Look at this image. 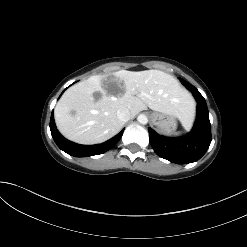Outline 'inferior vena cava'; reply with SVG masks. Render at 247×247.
I'll return each mask as SVG.
<instances>
[{"label": "inferior vena cava", "mask_w": 247, "mask_h": 247, "mask_svg": "<svg viewBox=\"0 0 247 247\" xmlns=\"http://www.w3.org/2000/svg\"><path fill=\"white\" fill-rule=\"evenodd\" d=\"M117 117L122 122H127L130 118V111L128 108L122 107L117 110Z\"/></svg>", "instance_id": "inferior-vena-cava-1"}]
</instances>
